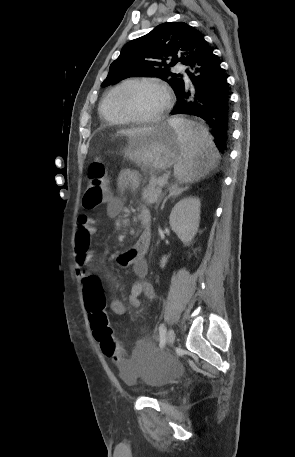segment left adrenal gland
I'll return each mask as SVG.
<instances>
[{
    "instance_id": "1",
    "label": "left adrenal gland",
    "mask_w": 295,
    "mask_h": 457,
    "mask_svg": "<svg viewBox=\"0 0 295 457\" xmlns=\"http://www.w3.org/2000/svg\"><path fill=\"white\" fill-rule=\"evenodd\" d=\"M187 189H188V187H185V188H183V189H181V190H179V191L170 189V194L164 199V201H163V203H162V206H161V209L164 208V205H165L166 201H167L169 198L178 196V195H180L183 191H185V190H187ZM155 209H156V210L158 209V205L156 206Z\"/></svg>"
}]
</instances>
